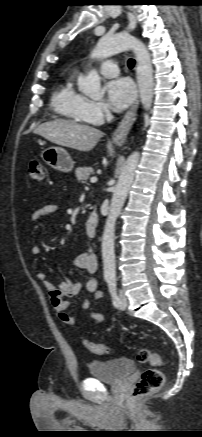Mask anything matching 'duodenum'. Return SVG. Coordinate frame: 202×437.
<instances>
[{
  "instance_id": "410a0bca",
  "label": "duodenum",
  "mask_w": 202,
  "mask_h": 437,
  "mask_svg": "<svg viewBox=\"0 0 202 437\" xmlns=\"http://www.w3.org/2000/svg\"><path fill=\"white\" fill-rule=\"evenodd\" d=\"M99 223V216L96 210H92L85 224V231L89 237H95Z\"/></svg>"
}]
</instances>
